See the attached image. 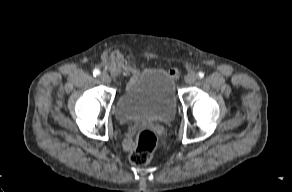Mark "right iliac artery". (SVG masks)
<instances>
[{
	"label": "right iliac artery",
	"instance_id": "82829eb1",
	"mask_svg": "<svg viewBox=\"0 0 292 192\" xmlns=\"http://www.w3.org/2000/svg\"><path fill=\"white\" fill-rule=\"evenodd\" d=\"M93 75L96 77V76H99L100 75V71L98 69H94L93 71Z\"/></svg>",
	"mask_w": 292,
	"mask_h": 192
}]
</instances>
